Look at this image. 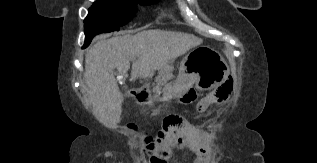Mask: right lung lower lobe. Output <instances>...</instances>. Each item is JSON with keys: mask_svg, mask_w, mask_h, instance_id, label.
<instances>
[{"mask_svg": "<svg viewBox=\"0 0 317 163\" xmlns=\"http://www.w3.org/2000/svg\"><path fill=\"white\" fill-rule=\"evenodd\" d=\"M87 46H88V45L85 44V45L83 46V48H85V47H87Z\"/></svg>", "mask_w": 317, "mask_h": 163, "instance_id": "obj_1", "label": "right lung lower lobe"}]
</instances>
